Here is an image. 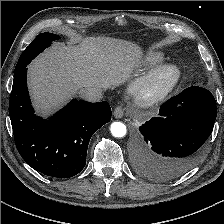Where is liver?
Here are the masks:
<instances>
[{"label": "liver", "mask_w": 224, "mask_h": 224, "mask_svg": "<svg viewBox=\"0 0 224 224\" xmlns=\"http://www.w3.org/2000/svg\"><path fill=\"white\" fill-rule=\"evenodd\" d=\"M141 55L135 43L110 37L57 42L28 67L34 106L46 115L85 88H114L131 77Z\"/></svg>", "instance_id": "6515ba94"}]
</instances>
